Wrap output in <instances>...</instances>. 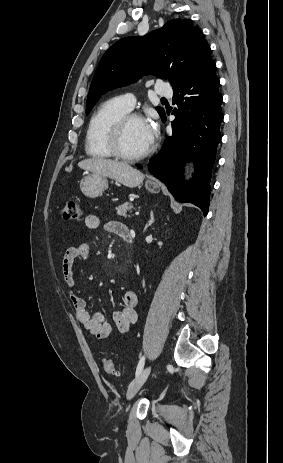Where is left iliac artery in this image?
Returning a JSON list of instances; mask_svg holds the SVG:
<instances>
[{
	"label": "left iliac artery",
	"instance_id": "1",
	"mask_svg": "<svg viewBox=\"0 0 283 463\" xmlns=\"http://www.w3.org/2000/svg\"><path fill=\"white\" fill-rule=\"evenodd\" d=\"M144 363H145V357L143 356L139 363H138V366H137V369H136V376H138L140 374V372L142 371L143 367H144Z\"/></svg>",
	"mask_w": 283,
	"mask_h": 463
}]
</instances>
